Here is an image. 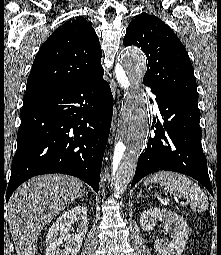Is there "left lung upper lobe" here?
Segmentation results:
<instances>
[{
  "mask_svg": "<svg viewBox=\"0 0 221 255\" xmlns=\"http://www.w3.org/2000/svg\"><path fill=\"white\" fill-rule=\"evenodd\" d=\"M123 44L138 46L146 54L148 66L143 82L151 90L198 105L192 64L168 25L154 15L138 14L128 25Z\"/></svg>",
  "mask_w": 221,
  "mask_h": 255,
  "instance_id": "left-lung-upper-lobe-1",
  "label": "left lung upper lobe"
}]
</instances>
